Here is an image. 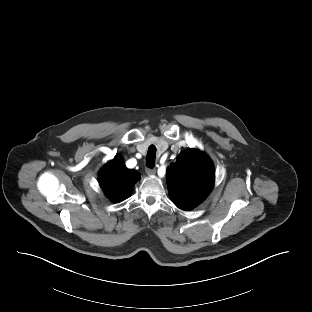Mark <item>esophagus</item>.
<instances>
[{
    "label": "esophagus",
    "instance_id": "esophagus-1",
    "mask_svg": "<svg viewBox=\"0 0 312 312\" xmlns=\"http://www.w3.org/2000/svg\"><path fill=\"white\" fill-rule=\"evenodd\" d=\"M147 175H154L156 173V169L146 168Z\"/></svg>",
    "mask_w": 312,
    "mask_h": 312
}]
</instances>
